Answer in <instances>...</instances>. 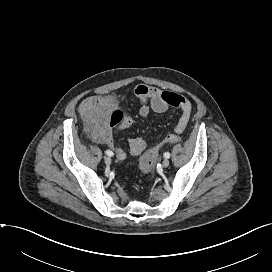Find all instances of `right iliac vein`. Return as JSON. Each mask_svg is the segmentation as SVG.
Returning <instances> with one entry per match:
<instances>
[{
  "instance_id": "obj_1",
  "label": "right iliac vein",
  "mask_w": 272,
  "mask_h": 272,
  "mask_svg": "<svg viewBox=\"0 0 272 272\" xmlns=\"http://www.w3.org/2000/svg\"><path fill=\"white\" fill-rule=\"evenodd\" d=\"M104 162H105L106 165H110L111 164V158L110 157H105Z\"/></svg>"
}]
</instances>
